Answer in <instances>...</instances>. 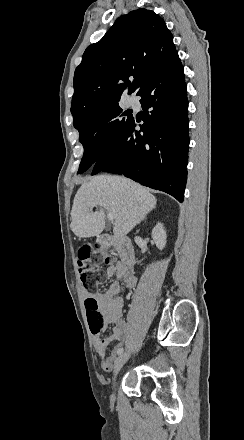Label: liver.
I'll list each match as a JSON object with an SVG mask.
<instances>
[{
  "label": "liver",
  "instance_id": "liver-1",
  "mask_svg": "<svg viewBox=\"0 0 244 440\" xmlns=\"http://www.w3.org/2000/svg\"><path fill=\"white\" fill-rule=\"evenodd\" d=\"M157 200L146 188L122 176H94L83 182L71 210L70 228L77 238L99 236L105 228V212L114 214V236H127L146 214L155 208ZM101 206L100 212L89 208Z\"/></svg>",
  "mask_w": 244,
  "mask_h": 440
}]
</instances>
